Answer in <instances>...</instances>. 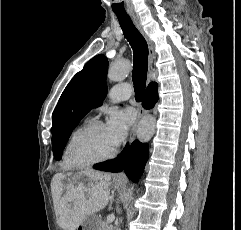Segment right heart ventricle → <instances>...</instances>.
<instances>
[{"label":"right heart ventricle","mask_w":241,"mask_h":230,"mask_svg":"<svg viewBox=\"0 0 241 230\" xmlns=\"http://www.w3.org/2000/svg\"><path fill=\"white\" fill-rule=\"evenodd\" d=\"M84 126V124H81L79 126H77L69 135L64 149H63V153H62V167L64 169L70 170L73 168H76V166L73 164V162L71 161L70 158V154H69V149H70V144L74 138V136L77 134V132Z\"/></svg>","instance_id":"right-heart-ventricle-1"}]
</instances>
